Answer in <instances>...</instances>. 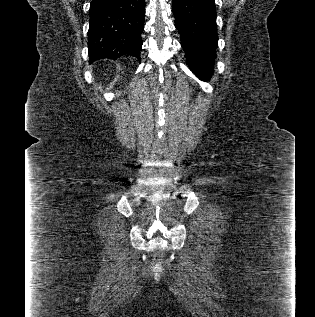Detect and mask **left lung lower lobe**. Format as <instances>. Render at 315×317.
<instances>
[{"instance_id": "0a47b994", "label": "left lung lower lobe", "mask_w": 315, "mask_h": 317, "mask_svg": "<svg viewBox=\"0 0 315 317\" xmlns=\"http://www.w3.org/2000/svg\"><path fill=\"white\" fill-rule=\"evenodd\" d=\"M172 9L187 64L199 79L208 81L218 44L215 0H173Z\"/></svg>"}]
</instances>
